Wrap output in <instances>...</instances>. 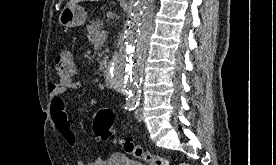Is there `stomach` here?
Wrapping results in <instances>:
<instances>
[{"label":"stomach","mask_w":276,"mask_h":165,"mask_svg":"<svg viewBox=\"0 0 276 165\" xmlns=\"http://www.w3.org/2000/svg\"><path fill=\"white\" fill-rule=\"evenodd\" d=\"M87 14L79 5L65 6L59 15V23L67 28L81 26L86 21Z\"/></svg>","instance_id":"obj_1"}]
</instances>
